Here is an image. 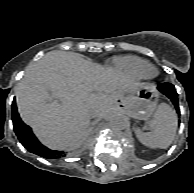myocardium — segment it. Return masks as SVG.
Segmentation results:
<instances>
[{
    "instance_id": "obj_1",
    "label": "myocardium",
    "mask_w": 194,
    "mask_h": 193,
    "mask_svg": "<svg viewBox=\"0 0 194 193\" xmlns=\"http://www.w3.org/2000/svg\"><path fill=\"white\" fill-rule=\"evenodd\" d=\"M157 76V70L155 67L151 66L145 74L146 79H153Z\"/></svg>"
}]
</instances>
